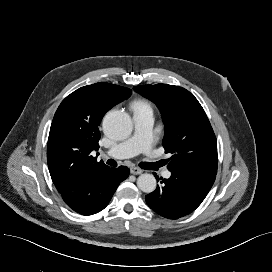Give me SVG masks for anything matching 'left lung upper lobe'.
<instances>
[{
    "label": "left lung upper lobe",
    "instance_id": "left-lung-upper-lobe-1",
    "mask_svg": "<svg viewBox=\"0 0 272 272\" xmlns=\"http://www.w3.org/2000/svg\"><path fill=\"white\" fill-rule=\"evenodd\" d=\"M133 89L153 101L161 111L170 152V171L217 173V141L205 111L186 89L168 84L135 86Z\"/></svg>",
    "mask_w": 272,
    "mask_h": 272
}]
</instances>
